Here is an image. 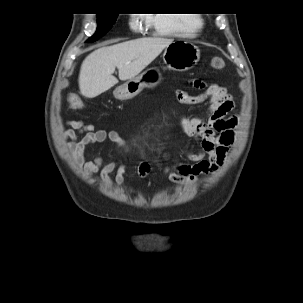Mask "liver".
<instances>
[{"mask_svg": "<svg viewBox=\"0 0 303 303\" xmlns=\"http://www.w3.org/2000/svg\"><path fill=\"white\" fill-rule=\"evenodd\" d=\"M172 42L168 38L143 37L95 50L81 65L80 93L94 98L116 85V67L120 80L136 77Z\"/></svg>", "mask_w": 303, "mask_h": 303, "instance_id": "liver-1", "label": "liver"}]
</instances>
